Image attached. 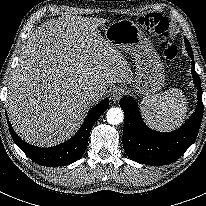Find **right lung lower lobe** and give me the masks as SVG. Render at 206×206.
<instances>
[{
	"label": "right lung lower lobe",
	"mask_w": 206,
	"mask_h": 206,
	"mask_svg": "<svg viewBox=\"0 0 206 206\" xmlns=\"http://www.w3.org/2000/svg\"><path fill=\"white\" fill-rule=\"evenodd\" d=\"M109 99L105 98L94 106L78 132L68 141L49 148L32 146L23 141L13 130L7 118L9 131L15 144L35 163L48 167L68 165L77 161L84 153L91 129L97 119L108 109Z\"/></svg>",
	"instance_id": "1"
}]
</instances>
